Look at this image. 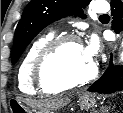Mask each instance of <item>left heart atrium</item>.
Wrapping results in <instances>:
<instances>
[{"label": "left heart atrium", "mask_w": 123, "mask_h": 113, "mask_svg": "<svg viewBox=\"0 0 123 113\" xmlns=\"http://www.w3.org/2000/svg\"><path fill=\"white\" fill-rule=\"evenodd\" d=\"M99 48L100 45L98 39L95 36H92L87 44L83 47V50L86 57L92 61L93 58L97 55Z\"/></svg>", "instance_id": "1"}]
</instances>
